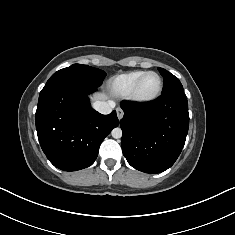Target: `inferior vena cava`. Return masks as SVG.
I'll return each mask as SVG.
<instances>
[{"label": "inferior vena cava", "mask_w": 235, "mask_h": 235, "mask_svg": "<svg viewBox=\"0 0 235 235\" xmlns=\"http://www.w3.org/2000/svg\"><path fill=\"white\" fill-rule=\"evenodd\" d=\"M115 107L113 101H96L93 103V108L101 114H109Z\"/></svg>", "instance_id": "1"}]
</instances>
